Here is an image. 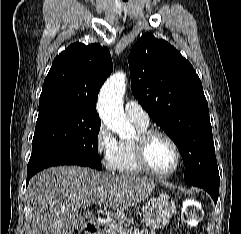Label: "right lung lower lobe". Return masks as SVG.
I'll use <instances>...</instances> for the list:
<instances>
[{
    "mask_svg": "<svg viewBox=\"0 0 241 234\" xmlns=\"http://www.w3.org/2000/svg\"><path fill=\"white\" fill-rule=\"evenodd\" d=\"M57 165H80L88 166L78 156L62 150H52L31 157L27 166V184L29 178L47 167Z\"/></svg>",
    "mask_w": 241,
    "mask_h": 234,
    "instance_id": "1",
    "label": "right lung lower lobe"
}]
</instances>
